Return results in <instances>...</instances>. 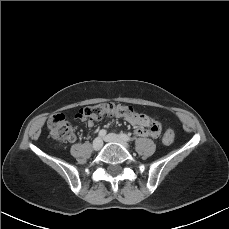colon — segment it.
I'll list each match as a JSON object with an SVG mask.
<instances>
[{
  "label": "colon",
  "instance_id": "1",
  "mask_svg": "<svg viewBox=\"0 0 229 229\" xmlns=\"http://www.w3.org/2000/svg\"><path fill=\"white\" fill-rule=\"evenodd\" d=\"M136 113L133 106L120 103H102L81 108L78 117L85 120L97 121L104 116L117 114L132 116ZM51 137L57 141L69 140L73 137V127L62 113L53 114L48 120ZM175 140V132L168 129L163 135V142L171 144Z\"/></svg>",
  "mask_w": 229,
  "mask_h": 229
}]
</instances>
